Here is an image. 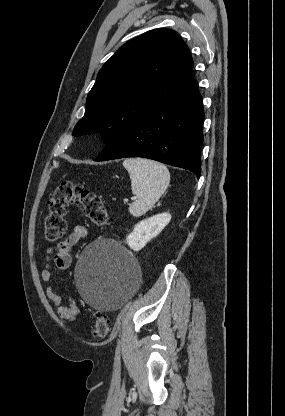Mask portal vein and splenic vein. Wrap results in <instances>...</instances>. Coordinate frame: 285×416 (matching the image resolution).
I'll list each match as a JSON object with an SVG mask.
<instances>
[{
  "mask_svg": "<svg viewBox=\"0 0 285 416\" xmlns=\"http://www.w3.org/2000/svg\"><path fill=\"white\" fill-rule=\"evenodd\" d=\"M137 196H134V198H131V200H136Z\"/></svg>",
  "mask_w": 285,
  "mask_h": 416,
  "instance_id": "portal-vein-and-splenic-vein-1",
  "label": "portal vein and splenic vein"
}]
</instances>
